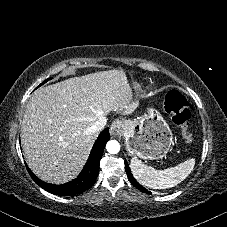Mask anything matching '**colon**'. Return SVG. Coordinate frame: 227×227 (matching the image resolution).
I'll return each mask as SVG.
<instances>
[{
	"mask_svg": "<svg viewBox=\"0 0 227 227\" xmlns=\"http://www.w3.org/2000/svg\"><path fill=\"white\" fill-rule=\"evenodd\" d=\"M165 106L178 127L181 139L185 142L192 141L193 137L188 126L190 111L187 99L179 91L172 90L166 96Z\"/></svg>",
	"mask_w": 227,
	"mask_h": 227,
	"instance_id": "1",
	"label": "colon"
}]
</instances>
